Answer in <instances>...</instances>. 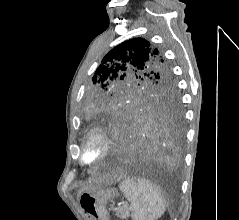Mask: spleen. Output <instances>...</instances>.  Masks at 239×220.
Segmentation results:
<instances>
[{
  "instance_id": "3e777b00",
  "label": "spleen",
  "mask_w": 239,
  "mask_h": 220,
  "mask_svg": "<svg viewBox=\"0 0 239 220\" xmlns=\"http://www.w3.org/2000/svg\"><path fill=\"white\" fill-rule=\"evenodd\" d=\"M120 190L131 203L133 220H157L166 210V200L158 187L145 179H125Z\"/></svg>"
}]
</instances>
